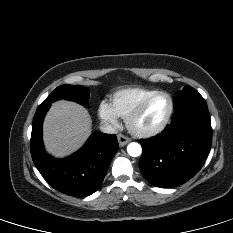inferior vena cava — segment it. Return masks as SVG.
Segmentation results:
<instances>
[{
  "instance_id": "obj_1",
  "label": "inferior vena cava",
  "mask_w": 233,
  "mask_h": 233,
  "mask_svg": "<svg viewBox=\"0 0 233 233\" xmlns=\"http://www.w3.org/2000/svg\"><path fill=\"white\" fill-rule=\"evenodd\" d=\"M100 130L103 133H107V134H117L118 133V128L115 125H111L107 122H101L100 124Z\"/></svg>"
}]
</instances>
